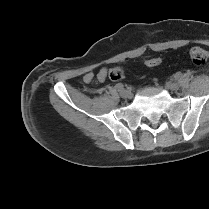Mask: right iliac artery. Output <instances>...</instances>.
Segmentation results:
<instances>
[{
	"label": "right iliac artery",
	"instance_id": "obj_1",
	"mask_svg": "<svg viewBox=\"0 0 209 209\" xmlns=\"http://www.w3.org/2000/svg\"><path fill=\"white\" fill-rule=\"evenodd\" d=\"M115 88L118 90V91H121L123 88H124V85L122 83H118L116 84Z\"/></svg>",
	"mask_w": 209,
	"mask_h": 209
}]
</instances>
